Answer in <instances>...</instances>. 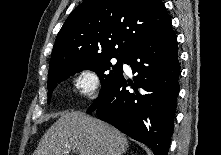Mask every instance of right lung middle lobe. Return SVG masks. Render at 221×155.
<instances>
[{
	"label": "right lung middle lobe",
	"instance_id": "dd1d6c3e",
	"mask_svg": "<svg viewBox=\"0 0 221 155\" xmlns=\"http://www.w3.org/2000/svg\"><path fill=\"white\" fill-rule=\"evenodd\" d=\"M116 58L117 63H112V59ZM126 57H109L92 61H82L68 67H63L49 73L47 82L48 87V103L50 102L52 92L57 83H60L69 76L80 72L84 69L96 72L102 84V93H104L113 82L120 76L122 71V63L125 62Z\"/></svg>",
	"mask_w": 221,
	"mask_h": 155
}]
</instances>
